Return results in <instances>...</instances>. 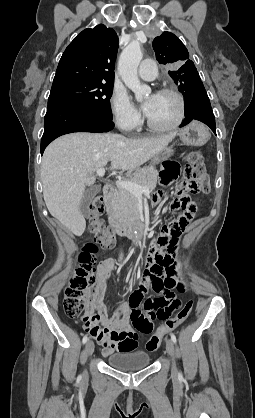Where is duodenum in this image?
I'll use <instances>...</instances> for the list:
<instances>
[{"instance_id":"duodenum-1","label":"duodenum","mask_w":255,"mask_h":418,"mask_svg":"<svg viewBox=\"0 0 255 418\" xmlns=\"http://www.w3.org/2000/svg\"><path fill=\"white\" fill-rule=\"evenodd\" d=\"M115 191L116 189L114 185H104L103 196L107 203L113 199ZM110 226L119 236L130 238L143 234L146 231V225L138 213H135L133 216L126 219H117L112 217L110 219Z\"/></svg>"}]
</instances>
